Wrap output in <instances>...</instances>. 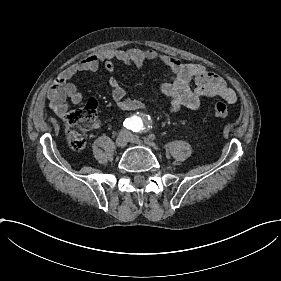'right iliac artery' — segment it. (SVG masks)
<instances>
[{
	"label": "right iliac artery",
	"mask_w": 281,
	"mask_h": 281,
	"mask_svg": "<svg viewBox=\"0 0 281 281\" xmlns=\"http://www.w3.org/2000/svg\"><path fill=\"white\" fill-rule=\"evenodd\" d=\"M124 127H126L127 129H130L132 127V123H131V119H125L124 123H123Z\"/></svg>",
	"instance_id": "1"
}]
</instances>
